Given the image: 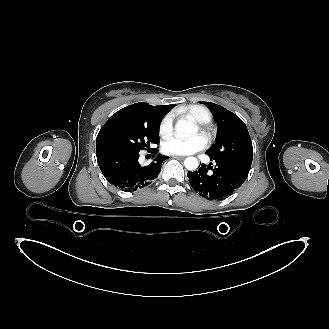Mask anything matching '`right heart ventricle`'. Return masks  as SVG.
<instances>
[{
    "label": "right heart ventricle",
    "instance_id": "e07e8e85",
    "mask_svg": "<svg viewBox=\"0 0 329 329\" xmlns=\"http://www.w3.org/2000/svg\"><path fill=\"white\" fill-rule=\"evenodd\" d=\"M199 124H207L212 120L211 112L202 105H191L181 110Z\"/></svg>",
    "mask_w": 329,
    "mask_h": 329
}]
</instances>
